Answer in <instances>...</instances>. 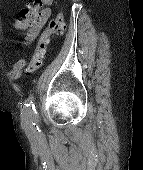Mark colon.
<instances>
[{"label": "colon", "mask_w": 143, "mask_h": 170, "mask_svg": "<svg viewBox=\"0 0 143 170\" xmlns=\"http://www.w3.org/2000/svg\"><path fill=\"white\" fill-rule=\"evenodd\" d=\"M39 10L38 4H31L20 11L19 19L23 27L29 26L36 18L37 11ZM64 28V18L62 10L59 9L55 18H53L48 27L43 31L40 36L38 45L34 54L32 55L31 61L27 67V74H33L43 64L44 57L46 54V46L49 42L50 37L53 34H60Z\"/></svg>", "instance_id": "colon-1"}]
</instances>
